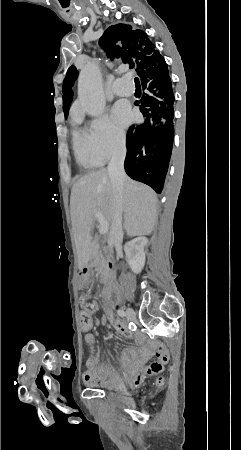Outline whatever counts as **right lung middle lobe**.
<instances>
[{
  "instance_id": "1",
  "label": "right lung middle lobe",
  "mask_w": 241,
  "mask_h": 450,
  "mask_svg": "<svg viewBox=\"0 0 241 450\" xmlns=\"http://www.w3.org/2000/svg\"><path fill=\"white\" fill-rule=\"evenodd\" d=\"M77 75L67 77L64 79L62 92H63V111L65 114V118L68 116V110L69 105L72 101L73 91L71 90V87L74 84V81L76 80Z\"/></svg>"
}]
</instances>
